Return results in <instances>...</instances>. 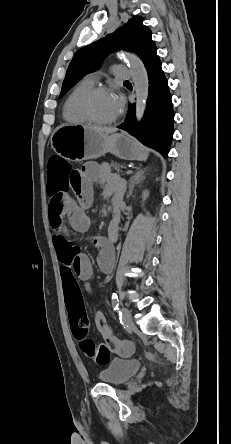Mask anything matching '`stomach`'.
<instances>
[{
  "instance_id": "stomach-1",
  "label": "stomach",
  "mask_w": 231,
  "mask_h": 444,
  "mask_svg": "<svg viewBox=\"0 0 231 444\" xmlns=\"http://www.w3.org/2000/svg\"><path fill=\"white\" fill-rule=\"evenodd\" d=\"M53 150L64 159L83 161L111 153L125 160H145L147 152L123 133L105 135L86 126L63 124L51 136Z\"/></svg>"
}]
</instances>
